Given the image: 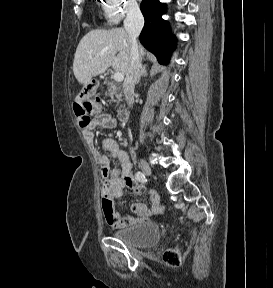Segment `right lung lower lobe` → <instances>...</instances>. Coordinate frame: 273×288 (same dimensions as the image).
I'll return each instance as SVG.
<instances>
[{
  "label": "right lung lower lobe",
  "instance_id": "1",
  "mask_svg": "<svg viewBox=\"0 0 273 288\" xmlns=\"http://www.w3.org/2000/svg\"><path fill=\"white\" fill-rule=\"evenodd\" d=\"M140 9L145 18L140 42L157 57L159 63L167 64L169 49L175 47L176 39L170 33L168 22L161 18L166 11V5L159 0H143Z\"/></svg>",
  "mask_w": 273,
  "mask_h": 288
}]
</instances>
